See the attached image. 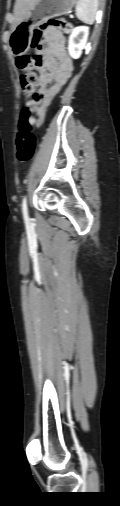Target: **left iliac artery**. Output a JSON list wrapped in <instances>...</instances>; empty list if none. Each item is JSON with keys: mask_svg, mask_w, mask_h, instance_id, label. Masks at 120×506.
<instances>
[{"mask_svg": "<svg viewBox=\"0 0 120 506\" xmlns=\"http://www.w3.org/2000/svg\"><path fill=\"white\" fill-rule=\"evenodd\" d=\"M22 213L25 220H28V208H27V199L26 196H24L22 201Z\"/></svg>", "mask_w": 120, "mask_h": 506, "instance_id": "left-iliac-artery-1", "label": "left iliac artery"}]
</instances>
